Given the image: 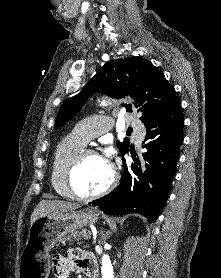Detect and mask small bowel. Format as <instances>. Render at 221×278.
Wrapping results in <instances>:
<instances>
[{"mask_svg": "<svg viewBox=\"0 0 221 278\" xmlns=\"http://www.w3.org/2000/svg\"><path fill=\"white\" fill-rule=\"evenodd\" d=\"M94 259L80 250H70L66 255H55L52 258V269L57 278H68L74 267L85 271Z\"/></svg>", "mask_w": 221, "mask_h": 278, "instance_id": "obj_1", "label": "small bowel"}]
</instances>
